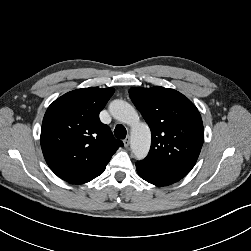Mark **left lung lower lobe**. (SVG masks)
Here are the masks:
<instances>
[{"instance_id": "left-lung-lower-lobe-1", "label": "left lung lower lobe", "mask_w": 251, "mask_h": 251, "mask_svg": "<svg viewBox=\"0 0 251 251\" xmlns=\"http://www.w3.org/2000/svg\"><path fill=\"white\" fill-rule=\"evenodd\" d=\"M136 169L142 179L156 186L173 184L188 174L182 170L154 167L140 161L136 163Z\"/></svg>"}]
</instances>
